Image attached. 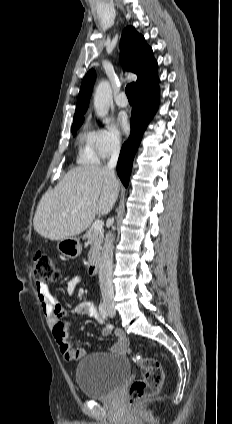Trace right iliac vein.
<instances>
[{"label": "right iliac vein", "instance_id": "63e3f726", "mask_svg": "<svg viewBox=\"0 0 232 424\" xmlns=\"http://www.w3.org/2000/svg\"><path fill=\"white\" fill-rule=\"evenodd\" d=\"M108 309H112V306L111 305H108Z\"/></svg>", "mask_w": 232, "mask_h": 424}]
</instances>
